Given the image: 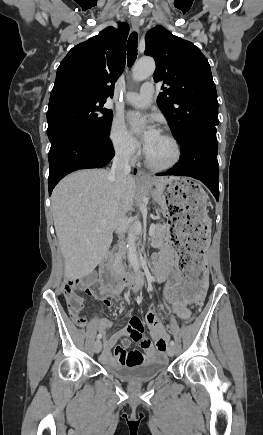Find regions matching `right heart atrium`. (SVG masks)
Wrapping results in <instances>:
<instances>
[{
	"instance_id": "d8ad5b80",
	"label": "right heart atrium",
	"mask_w": 263,
	"mask_h": 435,
	"mask_svg": "<svg viewBox=\"0 0 263 435\" xmlns=\"http://www.w3.org/2000/svg\"><path fill=\"white\" fill-rule=\"evenodd\" d=\"M108 140L118 158L124 161H134L138 157L139 146L119 119H114L111 122Z\"/></svg>"
}]
</instances>
